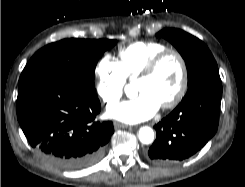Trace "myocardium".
Listing matches in <instances>:
<instances>
[{
	"label": "myocardium",
	"instance_id": "f54148a6",
	"mask_svg": "<svg viewBox=\"0 0 245 187\" xmlns=\"http://www.w3.org/2000/svg\"><path fill=\"white\" fill-rule=\"evenodd\" d=\"M175 56L178 60L180 67H181V81L180 85L178 87V90L176 93L164 104L161 105L162 109H170L175 107L180 103V101L184 98L189 84V73H188V66L185 58L183 55L175 50L167 48L157 54H155L142 68V70L137 75L136 79H143L150 77L154 71L156 70L157 66L160 64V62L166 58L167 56Z\"/></svg>",
	"mask_w": 245,
	"mask_h": 187
}]
</instances>
